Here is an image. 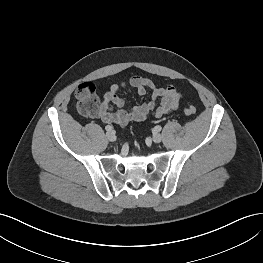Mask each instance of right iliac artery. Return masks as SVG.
<instances>
[{
    "instance_id": "right-iliac-artery-1",
    "label": "right iliac artery",
    "mask_w": 263,
    "mask_h": 263,
    "mask_svg": "<svg viewBox=\"0 0 263 263\" xmlns=\"http://www.w3.org/2000/svg\"><path fill=\"white\" fill-rule=\"evenodd\" d=\"M105 129H106V131L110 132V131L113 130V127L110 126V125H107V126L105 127Z\"/></svg>"
}]
</instances>
